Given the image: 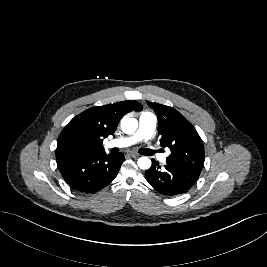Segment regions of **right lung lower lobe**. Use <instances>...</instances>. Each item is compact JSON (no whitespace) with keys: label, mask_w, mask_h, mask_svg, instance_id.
Instances as JSON below:
<instances>
[{"label":"right lung lower lobe","mask_w":267,"mask_h":267,"mask_svg":"<svg viewBox=\"0 0 267 267\" xmlns=\"http://www.w3.org/2000/svg\"><path fill=\"white\" fill-rule=\"evenodd\" d=\"M125 157L96 151L56 157L60 173L75 190L92 193L110 184L117 176Z\"/></svg>","instance_id":"right-lung-lower-lobe-1"}]
</instances>
